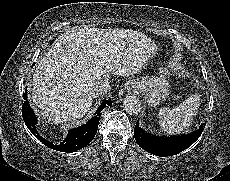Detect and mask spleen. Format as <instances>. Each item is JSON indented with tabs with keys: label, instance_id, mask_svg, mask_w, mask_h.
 <instances>
[{
	"label": "spleen",
	"instance_id": "spleen-1",
	"mask_svg": "<svg viewBox=\"0 0 230 181\" xmlns=\"http://www.w3.org/2000/svg\"><path fill=\"white\" fill-rule=\"evenodd\" d=\"M199 105V97L191 95L173 108H161L158 113L161 129L167 134H177L187 129Z\"/></svg>",
	"mask_w": 230,
	"mask_h": 181
}]
</instances>
